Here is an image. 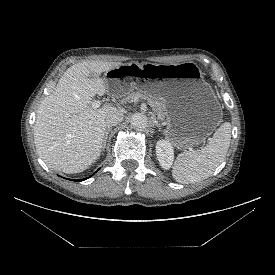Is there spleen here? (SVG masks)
<instances>
[{
	"label": "spleen",
	"mask_w": 275,
	"mask_h": 275,
	"mask_svg": "<svg viewBox=\"0 0 275 275\" xmlns=\"http://www.w3.org/2000/svg\"><path fill=\"white\" fill-rule=\"evenodd\" d=\"M231 141V124L223 123L202 150L180 153L172 176L182 184L200 182L210 177L224 160Z\"/></svg>",
	"instance_id": "spleen-1"
}]
</instances>
